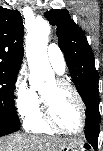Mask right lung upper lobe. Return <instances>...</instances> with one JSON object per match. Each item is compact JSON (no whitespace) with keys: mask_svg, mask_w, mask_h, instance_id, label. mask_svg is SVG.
<instances>
[{"mask_svg":"<svg viewBox=\"0 0 103 151\" xmlns=\"http://www.w3.org/2000/svg\"><path fill=\"white\" fill-rule=\"evenodd\" d=\"M24 26L17 10L0 7V64L19 67L23 57Z\"/></svg>","mask_w":103,"mask_h":151,"instance_id":"1","label":"right lung upper lobe"}]
</instances>
